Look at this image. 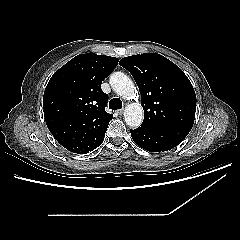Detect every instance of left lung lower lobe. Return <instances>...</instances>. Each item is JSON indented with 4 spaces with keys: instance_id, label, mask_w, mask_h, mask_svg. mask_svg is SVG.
<instances>
[{
    "instance_id": "0a47b994",
    "label": "left lung lower lobe",
    "mask_w": 240,
    "mask_h": 240,
    "mask_svg": "<svg viewBox=\"0 0 240 240\" xmlns=\"http://www.w3.org/2000/svg\"><path fill=\"white\" fill-rule=\"evenodd\" d=\"M134 142L150 152H164L177 146L190 132L184 128L151 129L139 127L130 130Z\"/></svg>"
}]
</instances>
